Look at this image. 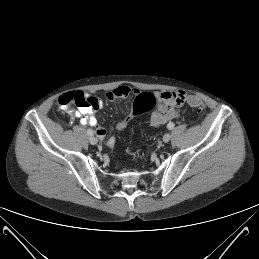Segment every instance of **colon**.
<instances>
[{
  "label": "colon",
  "instance_id": "5ec220e1",
  "mask_svg": "<svg viewBox=\"0 0 259 259\" xmlns=\"http://www.w3.org/2000/svg\"><path fill=\"white\" fill-rule=\"evenodd\" d=\"M187 103L199 112H203L205 110L202 100L196 96H189ZM155 105L156 97L153 94L145 92L137 94L133 101L132 113L118 123V129H124L135 116L152 110Z\"/></svg>",
  "mask_w": 259,
  "mask_h": 259
}]
</instances>
